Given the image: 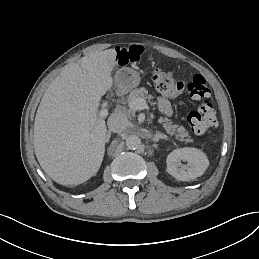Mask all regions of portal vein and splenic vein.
<instances>
[{"label": "portal vein and splenic vein", "mask_w": 259, "mask_h": 259, "mask_svg": "<svg viewBox=\"0 0 259 259\" xmlns=\"http://www.w3.org/2000/svg\"><path fill=\"white\" fill-rule=\"evenodd\" d=\"M129 107L131 110H144L148 108V105L146 103V100L143 98H136L135 100L131 101L129 103ZM108 115V110L103 109L100 111L99 116L101 118L106 117Z\"/></svg>", "instance_id": "1"}]
</instances>
